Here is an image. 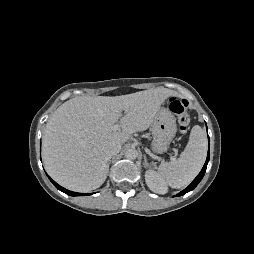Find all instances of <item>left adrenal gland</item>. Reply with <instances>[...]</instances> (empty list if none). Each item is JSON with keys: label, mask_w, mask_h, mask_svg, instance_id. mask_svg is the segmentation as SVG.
<instances>
[{"label": "left adrenal gland", "mask_w": 254, "mask_h": 254, "mask_svg": "<svg viewBox=\"0 0 254 254\" xmlns=\"http://www.w3.org/2000/svg\"><path fill=\"white\" fill-rule=\"evenodd\" d=\"M149 166V164H148V162H147V157H146V155L144 154V167H148Z\"/></svg>", "instance_id": "1"}]
</instances>
